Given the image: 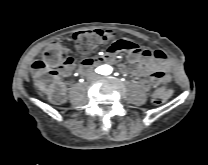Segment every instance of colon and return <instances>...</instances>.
<instances>
[{"instance_id": "1", "label": "colon", "mask_w": 208, "mask_h": 165, "mask_svg": "<svg viewBox=\"0 0 208 165\" xmlns=\"http://www.w3.org/2000/svg\"><path fill=\"white\" fill-rule=\"evenodd\" d=\"M106 39L102 30L79 31L74 33L73 41L76 50L82 57H86L92 49ZM74 64V59L68 55L65 47L57 42L49 44L42 57L33 62L31 68L35 78L42 83L44 91L52 100L64 97L65 87L58 78V71ZM172 91L168 87L158 88L153 94V101L162 104L171 97Z\"/></svg>"}]
</instances>
